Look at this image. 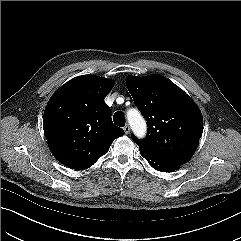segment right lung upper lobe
Returning <instances> with one entry per match:
<instances>
[{
	"instance_id": "cb5924a9",
	"label": "right lung upper lobe",
	"mask_w": 241,
	"mask_h": 241,
	"mask_svg": "<svg viewBox=\"0 0 241 241\" xmlns=\"http://www.w3.org/2000/svg\"><path fill=\"white\" fill-rule=\"evenodd\" d=\"M113 85L110 79L79 76L50 98L43 116L44 133L51 152L65 166L75 170L91 167L124 135L113 124L103 100Z\"/></svg>"
}]
</instances>
